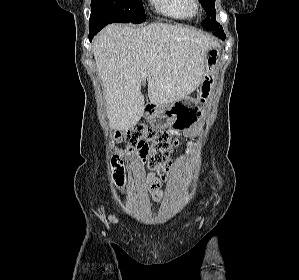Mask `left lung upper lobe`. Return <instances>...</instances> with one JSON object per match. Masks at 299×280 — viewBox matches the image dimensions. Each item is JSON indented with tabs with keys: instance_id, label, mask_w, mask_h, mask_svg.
I'll list each match as a JSON object with an SVG mask.
<instances>
[{
	"instance_id": "1",
	"label": "left lung upper lobe",
	"mask_w": 299,
	"mask_h": 280,
	"mask_svg": "<svg viewBox=\"0 0 299 280\" xmlns=\"http://www.w3.org/2000/svg\"><path fill=\"white\" fill-rule=\"evenodd\" d=\"M202 6L206 10L207 16L211 17V19H205L202 21V27L206 30L214 31L219 28L220 24L216 22L215 19V0H200ZM214 33H220L224 34L223 28L220 27L216 32Z\"/></svg>"
}]
</instances>
